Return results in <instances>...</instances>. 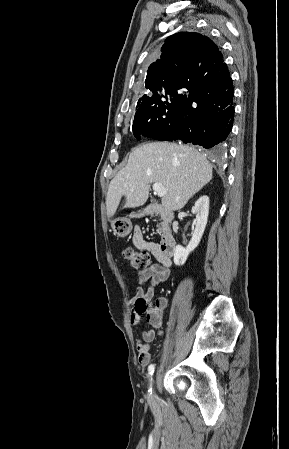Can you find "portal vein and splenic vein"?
<instances>
[{"label": "portal vein and splenic vein", "mask_w": 289, "mask_h": 449, "mask_svg": "<svg viewBox=\"0 0 289 449\" xmlns=\"http://www.w3.org/2000/svg\"><path fill=\"white\" fill-rule=\"evenodd\" d=\"M153 190L154 193L157 194L159 197H163L168 192V190L161 183H154Z\"/></svg>", "instance_id": "1"}]
</instances>
